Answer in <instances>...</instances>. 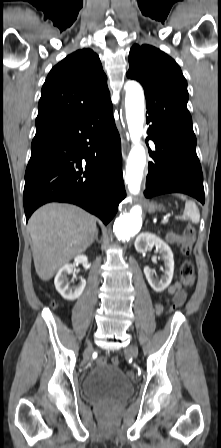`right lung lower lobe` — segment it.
I'll list each match as a JSON object with an SVG mask.
<instances>
[{
	"label": "right lung lower lobe",
	"mask_w": 221,
	"mask_h": 448,
	"mask_svg": "<svg viewBox=\"0 0 221 448\" xmlns=\"http://www.w3.org/2000/svg\"><path fill=\"white\" fill-rule=\"evenodd\" d=\"M31 148L23 196L26 221L52 201L76 204L104 224L113 218L126 194L110 100L35 135Z\"/></svg>",
	"instance_id": "98d812e1"
}]
</instances>
